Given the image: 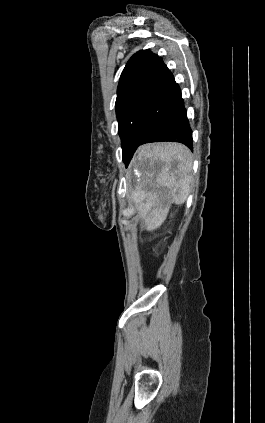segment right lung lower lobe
Listing matches in <instances>:
<instances>
[{
  "mask_svg": "<svg viewBox=\"0 0 265 423\" xmlns=\"http://www.w3.org/2000/svg\"><path fill=\"white\" fill-rule=\"evenodd\" d=\"M171 141L193 149L192 131L181 90L170 71L146 95L122 138L129 164L137 147L144 143Z\"/></svg>",
  "mask_w": 265,
  "mask_h": 423,
  "instance_id": "1",
  "label": "right lung lower lobe"
}]
</instances>
